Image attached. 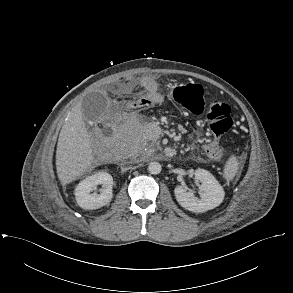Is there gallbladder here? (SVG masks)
<instances>
[{
    "label": "gallbladder",
    "instance_id": "gallbladder-1",
    "mask_svg": "<svg viewBox=\"0 0 293 293\" xmlns=\"http://www.w3.org/2000/svg\"><path fill=\"white\" fill-rule=\"evenodd\" d=\"M108 98L99 92L88 93L82 100L81 111L85 121H97L105 112Z\"/></svg>",
    "mask_w": 293,
    "mask_h": 293
}]
</instances>
